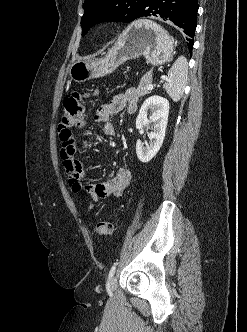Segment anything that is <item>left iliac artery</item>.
<instances>
[{
  "instance_id": "obj_1",
  "label": "left iliac artery",
  "mask_w": 247,
  "mask_h": 332,
  "mask_svg": "<svg viewBox=\"0 0 247 332\" xmlns=\"http://www.w3.org/2000/svg\"><path fill=\"white\" fill-rule=\"evenodd\" d=\"M117 262H115L113 265H112V267H111V269H110V271H109V275H108V280H110L112 277H113V275H114V273H115V270H116V266H117Z\"/></svg>"
}]
</instances>
